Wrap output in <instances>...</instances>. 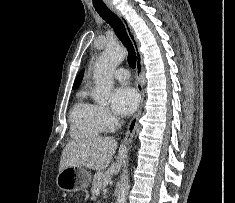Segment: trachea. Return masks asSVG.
<instances>
[{
  "label": "trachea",
  "instance_id": "trachea-1",
  "mask_svg": "<svg viewBox=\"0 0 235 203\" xmlns=\"http://www.w3.org/2000/svg\"><path fill=\"white\" fill-rule=\"evenodd\" d=\"M97 13L104 19L113 29L117 37L128 51V63L131 68L136 67V52L134 46L126 32L125 26L120 18L115 15L105 4H94Z\"/></svg>",
  "mask_w": 235,
  "mask_h": 203
}]
</instances>
